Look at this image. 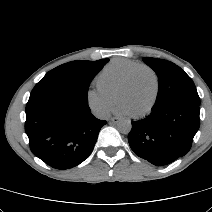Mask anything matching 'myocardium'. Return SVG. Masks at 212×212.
Segmentation results:
<instances>
[{"instance_id":"obj_1","label":"myocardium","mask_w":212,"mask_h":212,"mask_svg":"<svg viewBox=\"0 0 212 212\" xmlns=\"http://www.w3.org/2000/svg\"><path fill=\"white\" fill-rule=\"evenodd\" d=\"M141 71H147L152 76L154 81V93L151 102L145 109L137 113H132V116L134 118H141L149 114L155 107L160 93V80L156 71L147 65H140L130 72V74L127 76V78L121 85L117 95L118 100H120L121 94L132 84L135 76Z\"/></svg>"}]
</instances>
